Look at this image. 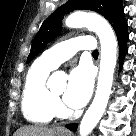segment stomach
Segmentation results:
<instances>
[{"instance_id": "obj_1", "label": "stomach", "mask_w": 136, "mask_h": 136, "mask_svg": "<svg viewBox=\"0 0 136 136\" xmlns=\"http://www.w3.org/2000/svg\"><path fill=\"white\" fill-rule=\"evenodd\" d=\"M56 136H69L67 133L57 132Z\"/></svg>"}]
</instances>
